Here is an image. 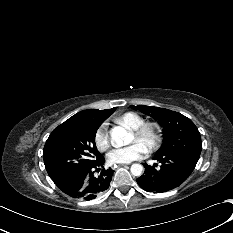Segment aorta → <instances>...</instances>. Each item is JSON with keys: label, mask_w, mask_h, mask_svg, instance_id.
Listing matches in <instances>:
<instances>
[{"label": "aorta", "mask_w": 233, "mask_h": 233, "mask_svg": "<svg viewBox=\"0 0 233 233\" xmlns=\"http://www.w3.org/2000/svg\"><path fill=\"white\" fill-rule=\"evenodd\" d=\"M110 134L111 144L116 148L126 145L130 142V137L123 127L117 126L112 128ZM130 170L132 175L140 176L143 171V166L141 164H133Z\"/></svg>", "instance_id": "obj_1"}]
</instances>
